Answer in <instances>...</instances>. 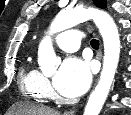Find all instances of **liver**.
<instances>
[{"label":"liver","instance_id":"obj_1","mask_svg":"<svg viewBox=\"0 0 131 115\" xmlns=\"http://www.w3.org/2000/svg\"><path fill=\"white\" fill-rule=\"evenodd\" d=\"M10 115H60L59 112L46 107H39L29 104H15L8 112Z\"/></svg>","mask_w":131,"mask_h":115}]
</instances>
